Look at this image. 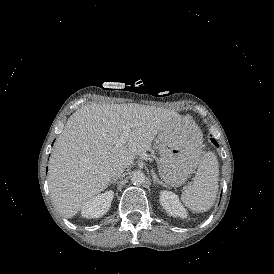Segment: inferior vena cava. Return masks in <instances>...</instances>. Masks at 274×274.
<instances>
[{
    "mask_svg": "<svg viewBox=\"0 0 274 274\" xmlns=\"http://www.w3.org/2000/svg\"><path fill=\"white\" fill-rule=\"evenodd\" d=\"M126 167L123 165H118L114 171L115 177H118L122 175V173L125 171Z\"/></svg>",
    "mask_w": 274,
    "mask_h": 274,
    "instance_id": "1",
    "label": "inferior vena cava"
}]
</instances>
